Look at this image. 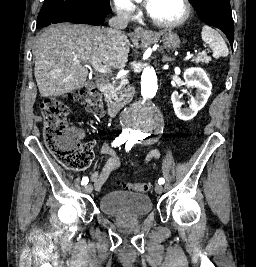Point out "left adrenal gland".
Listing matches in <instances>:
<instances>
[{"mask_svg": "<svg viewBox=\"0 0 256 267\" xmlns=\"http://www.w3.org/2000/svg\"><path fill=\"white\" fill-rule=\"evenodd\" d=\"M165 60H167V62H171V60H173V58H168V56H165Z\"/></svg>", "mask_w": 256, "mask_h": 267, "instance_id": "a2214340", "label": "left adrenal gland"}]
</instances>
